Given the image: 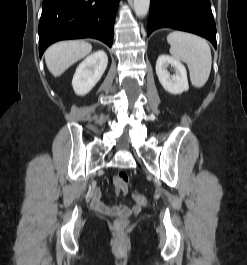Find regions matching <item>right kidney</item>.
<instances>
[{
    "label": "right kidney",
    "mask_w": 247,
    "mask_h": 265,
    "mask_svg": "<svg viewBox=\"0 0 247 265\" xmlns=\"http://www.w3.org/2000/svg\"><path fill=\"white\" fill-rule=\"evenodd\" d=\"M108 64L105 51L99 50L86 57L77 67L72 86L77 95L89 93L104 74Z\"/></svg>",
    "instance_id": "1"
}]
</instances>
